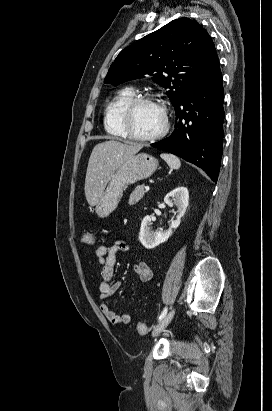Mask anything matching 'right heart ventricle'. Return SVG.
Masks as SVG:
<instances>
[{"label": "right heart ventricle", "instance_id": "1", "mask_svg": "<svg viewBox=\"0 0 272 411\" xmlns=\"http://www.w3.org/2000/svg\"><path fill=\"white\" fill-rule=\"evenodd\" d=\"M135 96V91L131 87H124L117 92L104 110V128L106 132L117 138H127L122 127L121 112L125 104Z\"/></svg>", "mask_w": 272, "mask_h": 411}]
</instances>
